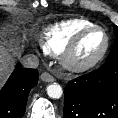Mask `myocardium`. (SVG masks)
I'll return each mask as SVG.
<instances>
[{
  "mask_svg": "<svg viewBox=\"0 0 118 118\" xmlns=\"http://www.w3.org/2000/svg\"><path fill=\"white\" fill-rule=\"evenodd\" d=\"M94 31H100L105 36V46L103 50L92 60L86 62H77L75 60L76 51L82 42V40ZM110 48V36L108 32L101 26L93 25L79 31L67 45L64 51L61 53V65L62 67L71 73H82L91 70L97 66L106 56Z\"/></svg>",
  "mask_w": 118,
  "mask_h": 118,
  "instance_id": "obj_1",
  "label": "myocardium"
}]
</instances>
